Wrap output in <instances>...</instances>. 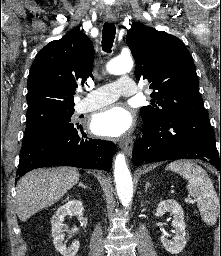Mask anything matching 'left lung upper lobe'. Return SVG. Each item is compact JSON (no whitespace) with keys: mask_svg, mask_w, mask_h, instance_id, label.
<instances>
[{"mask_svg":"<svg viewBox=\"0 0 221 256\" xmlns=\"http://www.w3.org/2000/svg\"><path fill=\"white\" fill-rule=\"evenodd\" d=\"M126 42L136 61V79L149 82L152 105L141 108L143 122L162 123L175 114L205 115L193 59L173 35L133 24Z\"/></svg>","mask_w":221,"mask_h":256,"instance_id":"5c2ea615","label":"left lung upper lobe"}]
</instances>
